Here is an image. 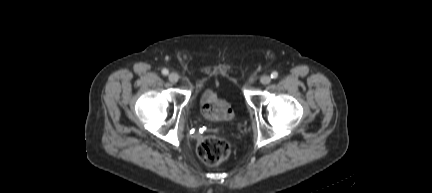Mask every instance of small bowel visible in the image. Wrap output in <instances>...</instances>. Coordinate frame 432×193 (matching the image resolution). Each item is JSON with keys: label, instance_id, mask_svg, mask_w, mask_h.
Returning <instances> with one entry per match:
<instances>
[{"label": "small bowel", "instance_id": "c3829d8e", "mask_svg": "<svg viewBox=\"0 0 432 193\" xmlns=\"http://www.w3.org/2000/svg\"><path fill=\"white\" fill-rule=\"evenodd\" d=\"M200 103L202 114L207 120L223 121L232 117L229 105L225 101L220 100L211 90H206L202 94Z\"/></svg>", "mask_w": 432, "mask_h": 193}]
</instances>
